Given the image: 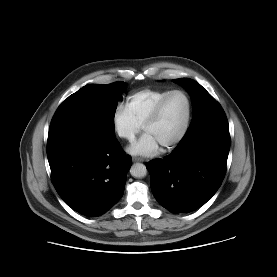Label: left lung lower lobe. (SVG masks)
I'll return each mask as SVG.
<instances>
[{"mask_svg":"<svg viewBox=\"0 0 277 277\" xmlns=\"http://www.w3.org/2000/svg\"><path fill=\"white\" fill-rule=\"evenodd\" d=\"M229 149V125L223 119L202 126L165 158L149 161L155 199L172 213L200 208L224 179Z\"/></svg>","mask_w":277,"mask_h":277,"instance_id":"1","label":"left lung lower lobe"}]
</instances>
